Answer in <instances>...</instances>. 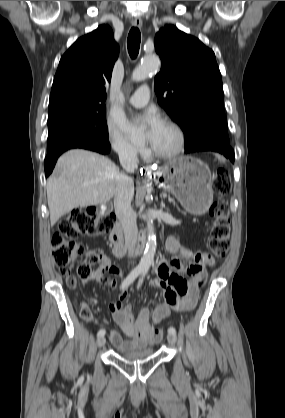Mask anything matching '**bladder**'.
Segmentation results:
<instances>
[{
	"label": "bladder",
	"mask_w": 285,
	"mask_h": 418,
	"mask_svg": "<svg viewBox=\"0 0 285 418\" xmlns=\"http://www.w3.org/2000/svg\"><path fill=\"white\" fill-rule=\"evenodd\" d=\"M118 355L127 360L144 359L153 355V349L152 348H143V349L132 348L125 352H120Z\"/></svg>",
	"instance_id": "31cf9c89"
}]
</instances>
